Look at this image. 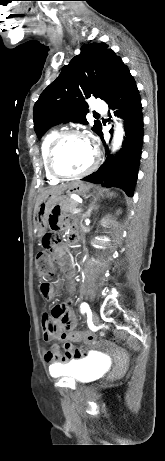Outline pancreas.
I'll return each mask as SVG.
<instances>
[{
	"label": "pancreas",
	"mask_w": 165,
	"mask_h": 461,
	"mask_svg": "<svg viewBox=\"0 0 165 461\" xmlns=\"http://www.w3.org/2000/svg\"><path fill=\"white\" fill-rule=\"evenodd\" d=\"M78 203L70 198H64L60 203V208L64 213H72L74 209H76Z\"/></svg>",
	"instance_id": "cf45deb5"
}]
</instances>
